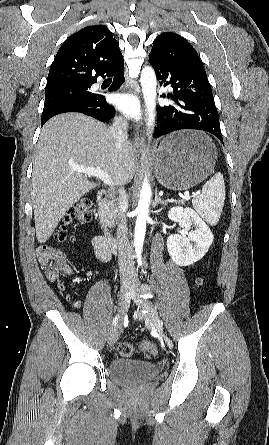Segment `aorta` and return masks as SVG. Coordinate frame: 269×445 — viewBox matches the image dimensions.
<instances>
[{"instance_id": "obj_1", "label": "aorta", "mask_w": 269, "mask_h": 445, "mask_svg": "<svg viewBox=\"0 0 269 445\" xmlns=\"http://www.w3.org/2000/svg\"><path fill=\"white\" fill-rule=\"evenodd\" d=\"M140 82L147 112V134L150 139L152 137L156 110L157 79L155 71L149 66L144 67L141 71ZM151 194V187L146 176L142 184L140 199L136 208L137 220L134 233V247L138 265L142 264L141 255L146 232V220L149 212Z\"/></svg>"}]
</instances>
